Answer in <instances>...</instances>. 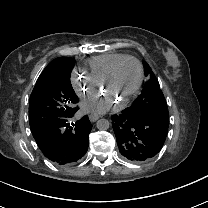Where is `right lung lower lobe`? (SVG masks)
I'll use <instances>...</instances> for the list:
<instances>
[{"label": "right lung lower lobe", "mask_w": 208, "mask_h": 208, "mask_svg": "<svg viewBox=\"0 0 208 208\" xmlns=\"http://www.w3.org/2000/svg\"><path fill=\"white\" fill-rule=\"evenodd\" d=\"M74 114L42 121H30V128L37 145L55 164H72L87 152L88 136L92 125L87 115L76 123L70 124L69 120Z\"/></svg>", "instance_id": "right-lung-lower-lobe-1"}]
</instances>
